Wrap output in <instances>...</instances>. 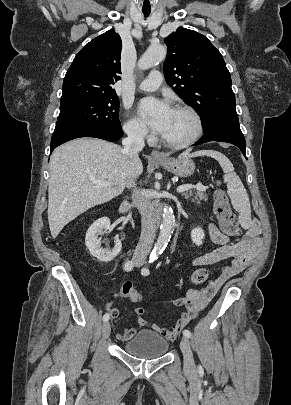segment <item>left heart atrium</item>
Segmentation results:
<instances>
[{
	"label": "left heart atrium",
	"mask_w": 291,
	"mask_h": 405,
	"mask_svg": "<svg viewBox=\"0 0 291 405\" xmlns=\"http://www.w3.org/2000/svg\"><path fill=\"white\" fill-rule=\"evenodd\" d=\"M138 113L145 123L162 133L169 122L172 108L165 101L145 98L139 103Z\"/></svg>",
	"instance_id": "left-heart-atrium-1"
}]
</instances>
